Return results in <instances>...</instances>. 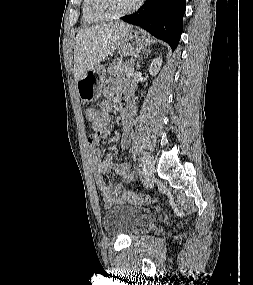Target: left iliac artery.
Listing matches in <instances>:
<instances>
[{"instance_id": "1", "label": "left iliac artery", "mask_w": 253, "mask_h": 285, "mask_svg": "<svg viewBox=\"0 0 253 285\" xmlns=\"http://www.w3.org/2000/svg\"><path fill=\"white\" fill-rule=\"evenodd\" d=\"M148 158H149L148 157V153L144 151L143 155H142V163H143L144 166L147 163Z\"/></svg>"}]
</instances>
